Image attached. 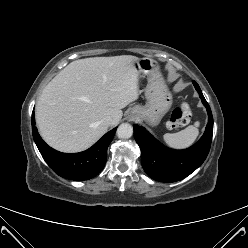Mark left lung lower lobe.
<instances>
[{
    "instance_id": "left-lung-lower-lobe-1",
    "label": "left lung lower lobe",
    "mask_w": 248,
    "mask_h": 248,
    "mask_svg": "<svg viewBox=\"0 0 248 248\" xmlns=\"http://www.w3.org/2000/svg\"><path fill=\"white\" fill-rule=\"evenodd\" d=\"M208 112V124L201 139L190 148L173 150L158 142L139 125H134V137L141 149V162L149 177L161 182L179 181L195 171L206 159L212 141L213 116L200 87L193 81Z\"/></svg>"
}]
</instances>
